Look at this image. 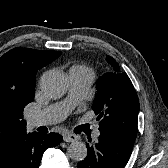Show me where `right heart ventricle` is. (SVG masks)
Instances as JSON below:
<instances>
[{
	"label": "right heart ventricle",
	"mask_w": 168,
	"mask_h": 168,
	"mask_svg": "<svg viewBox=\"0 0 168 168\" xmlns=\"http://www.w3.org/2000/svg\"><path fill=\"white\" fill-rule=\"evenodd\" d=\"M81 71V70H85V71H89L92 72L88 67L84 66V65H74L70 68V71Z\"/></svg>",
	"instance_id": "right-heart-ventricle-1"
}]
</instances>
